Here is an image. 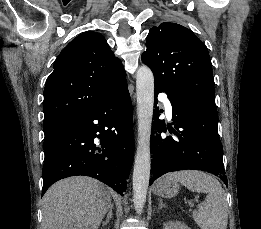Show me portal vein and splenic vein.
<instances>
[{"label":"portal vein and splenic vein","mask_w":261,"mask_h":229,"mask_svg":"<svg viewBox=\"0 0 261 229\" xmlns=\"http://www.w3.org/2000/svg\"><path fill=\"white\" fill-rule=\"evenodd\" d=\"M190 207H193V203H189Z\"/></svg>","instance_id":"obj_1"}]
</instances>
